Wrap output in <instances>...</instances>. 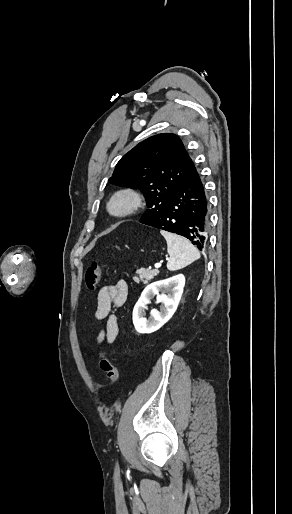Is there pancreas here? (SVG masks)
<instances>
[{"instance_id": "obj_1", "label": "pancreas", "mask_w": 292, "mask_h": 514, "mask_svg": "<svg viewBox=\"0 0 292 514\" xmlns=\"http://www.w3.org/2000/svg\"><path fill=\"white\" fill-rule=\"evenodd\" d=\"M136 274H139V278L134 276V282H137V284H139V282H142V284H148V282L153 280L154 276H157L159 272L158 270H146V268H141V270H137Z\"/></svg>"}]
</instances>
